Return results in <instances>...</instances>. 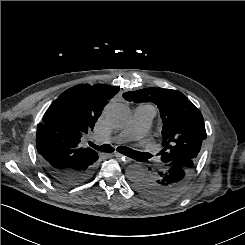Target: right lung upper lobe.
I'll return each mask as SVG.
<instances>
[{"instance_id": "1", "label": "right lung upper lobe", "mask_w": 245, "mask_h": 245, "mask_svg": "<svg viewBox=\"0 0 245 245\" xmlns=\"http://www.w3.org/2000/svg\"><path fill=\"white\" fill-rule=\"evenodd\" d=\"M120 88L104 84L76 85L63 92L38 124L36 147L43 163L56 169H79L98 160V154L81 145L108 101Z\"/></svg>"}]
</instances>
